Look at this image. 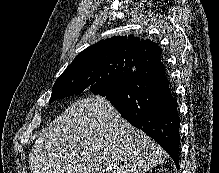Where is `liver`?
Here are the masks:
<instances>
[{
  "instance_id": "1",
  "label": "liver",
  "mask_w": 219,
  "mask_h": 173,
  "mask_svg": "<svg viewBox=\"0 0 219 173\" xmlns=\"http://www.w3.org/2000/svg\"><path fill=\"white\" fill-rule=\"evenodd\" d=\"M165 153L105 98L71 104L42 129L29 154L32 173H147Z\"/></svg>"
}]
</instances>
